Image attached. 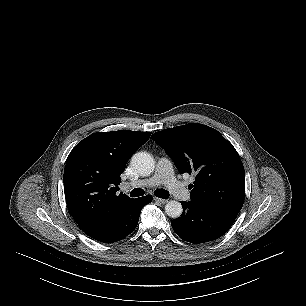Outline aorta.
<instances>
[{"mask_svg":"<svg viewBox=\"0 0 306 306\" xmlns=\"http://www.w3.org/2000/svg\"><path fill=\"white\" fill-rule=\"evenodd\" d=\"M131 164L133 168L141 175H150L155 168V161L153 157L146 152H137L132 156ZM183 211L180 202L171 200L165 205V213L171 218H178Z\"/></svg>","mask_w":306,"mask_h":306,"instance_id":"1","label":"aorta"}]
</instances>
